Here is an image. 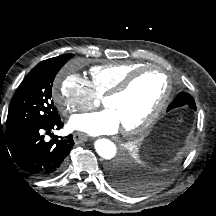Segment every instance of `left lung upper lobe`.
<instances>
[{"instance_id": "5c2ea615", "label": "left lung upper lobe", "mask_w": 216, "mask_h": 216, "mask_svg": "<svg viewBox=\"0 0 216 216\" xmlns=\"http://www.w3.org/2000/svg\"><path fill=\"white\" fill-rule=\"evenodd\" d=\"M186 96L188 97V99L186 100V102L184 103V105L189 106L191 109L196 110V105H195V101L193 99V97L189 94H186ZM136 192H139L136 189H133L131 192H129L130 194H134Z\"/></svg>"}]
</instances>
